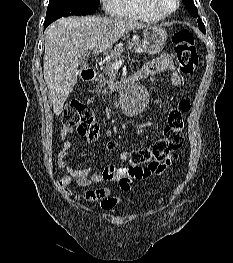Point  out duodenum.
<instances>
[{
	"instance_id": "410a0bca",
	"label": "duodenum",
	"mask_w": 233,
	"mask_h": 263,
	"mask_svg": "<svg viewBox=\"0 0 233 263\" xmlns=\"http://www.w3.org/2000/svg\"><path fill=\"white\" fill-rule=\"evenodd\" d=\"M96 76H97V72L93 68L85 69L82 72V79L88 83L93 82ZM145 77H146L145 74L141 70L134 73L133 75H131L130 73H123L122 75H116L115 79L118 80V82L115 83V86L121 87L122 83H129V81H138L144 79Z\"/></svg>"
}]
</instances>
